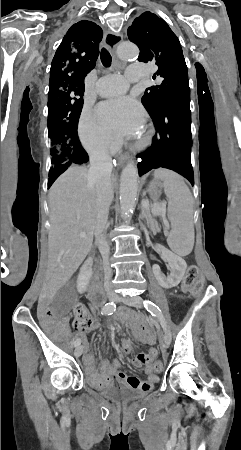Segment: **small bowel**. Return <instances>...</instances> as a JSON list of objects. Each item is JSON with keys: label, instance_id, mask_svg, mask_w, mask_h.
Listing matches in <instances>:
<instances>
[{"label": "small bowel", "instance_id": "small-bowel-1", "mask_svg": "<svg viewBox=\"0 0 241 450\" xmlns=\"http://www.w3.org/2000/svg\"><path fill=\"white\" fill-rule=\"evenodd\" d=\"M89 298L92 302H95L90 295ZM48 306L49 303L46 300H41L39 302L40 310L36 311L37 319H54L56 317V312L54 310H49ZM53 326L54 323L51 320H45L43 322V327L45 329H49V335H57L58 337L56 338V341L61 343L63 341L61 336L67 334L68 331L66 328L70 326V323L68 321H64L62 323L63 327L54 328ZM74 327L83 334H87L88 332L97 329L99 327V322L93 317H88V319H77L74 321ZM129 327L137 343L149 346L147 353H139L133 359V364L136 367H144V372L147 378L142 380L122 372L120 370L121 363L118 359H114L112 361L103 360L101 362L100 370H97L94 365L93 356L90 353H86L84 356L87 371L91 376L94 385L99 388L117 383L146 393L151 391L159 380L154 366L152 365V361L159 354V350L156 346V338L154 333L150 331L149 324H138L137 329L131 327V324H129ZM131 350L132 342L128 339L124 340L122 344L123 353L128 354Z\"/></svg>", "mask_w": 241, "mask_h": 450}]
</instances>
